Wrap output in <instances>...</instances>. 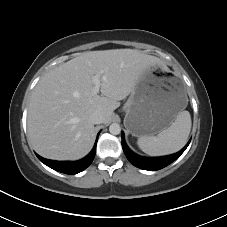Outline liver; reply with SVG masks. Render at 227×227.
<instances>
[{
    "instance_id": "liver-1",
    "label": "liver",
    "mask_w": 227,
    "mask_h": 227,
    "mask_svg": "<svg viewBox=\"0 0 227 227\" xmlns=\"http://www.w3.org/2000/svg\"><path fill=\"white\" fill-rule=\"evenodd\" d=\"M165 64L134 49L89 51L50 70L35 86L28 108L30 143L41 156L53 160H78L95 141L90 116L103 113V123L133 91L140 75ZM100 76L101 96L94 94L92 76Z\"/></svg>"
}]
</instances>
